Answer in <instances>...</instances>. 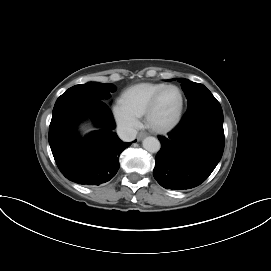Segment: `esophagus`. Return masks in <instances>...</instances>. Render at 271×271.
Here are the masks:
<instances>
[{
	"label": "esophagus",
	"instance_id": "1",
	"mask_svg": "<svg viewBox=\"0 0 271 271\" xmlns=\"http://www.w3.org/2000/svg\"><path fill=\"white\" fill-rule=\"evenodd\" d=\"M147 136V133L146 132H140L137 136V140L138 141H141L143 138H145Z\"/></svg>",
	"mask_w": 271,
	"mask_h": 271
}]
</instances>
